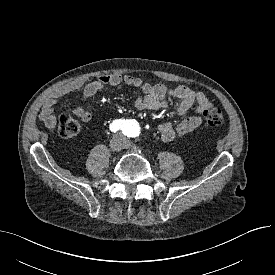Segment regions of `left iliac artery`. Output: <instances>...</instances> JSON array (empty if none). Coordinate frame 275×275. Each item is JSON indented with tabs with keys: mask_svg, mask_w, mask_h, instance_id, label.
<instances>
[{
	"mask_svg": "<svg viewBox=\"0 0 275 275\" xmlns=\"http://www.w3.org/2000/svg\"><path fill=\"white\" fill-rule=\"evenodd\" d=\"M131 123H128L127 125V129H126V133L128 134V136L133 135V132H131Z\"/></svg>",
	"mask_w": 275,
	"mask_h": 275,
	"instance_id": "44dca946",
	"label": "left iliac artery"
}]
</instances>
